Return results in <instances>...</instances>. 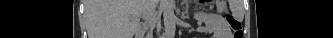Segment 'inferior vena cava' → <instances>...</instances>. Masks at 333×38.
Masks as SVG:
<instances>
[{
  "mask_svg": "<svg viewBox=\"0 0 333 38\" xmlns=\"http://www.w3.org/2000/svg\"><path fill=\"white\" fill-rule=\"evenodd\" d=\"M153 0H147L144 4V19L147 21L149 26H152L155 23V14L152 8ZM149 9V10H148Z\"/></svg>",
  "mask_w": 333,
  "mask_h": 38,
  "instance_id": "obj_1",
  "label": "inferior vena cava"
}]
</instances>
